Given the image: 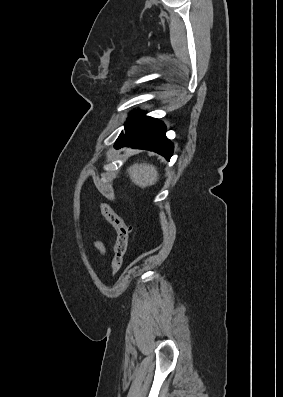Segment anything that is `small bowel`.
<instances>
[{
    "label": "small bowel",
    "mask_w": 283,
    "mask_h": 397,
    "mask_svg": "<svg viewBox=\"0 0 283 397\" xmlns=\"http://www.w3.org/2000/svg\"><path fill=\"white\" fill-rule=\"evenodd\" d=\"M95 247L101 252V254H105L106 249L102 242H100V241L96 242Z\"/></svg>",
    "instance_id": "obj_1"
}]
</instances>
